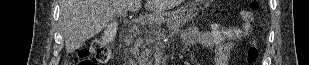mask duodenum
<instances>
[{
    "mask_svg": "<svg viewBox=\"0 0 309 65\" xmlns=\"http://www.w3.org/2000/svg\"><path fill=\"white\" fill-rule=\"evenodd\" d=\"M151 23V18L149 16L138 17L132 26V32H137L140 27L146 26Z\"/></svg>",
    "mask_w": 309,
    "mask_h": 65,
    "instance_id": "410a0bca",
    "label": "duodenum"
}]
</instances>
